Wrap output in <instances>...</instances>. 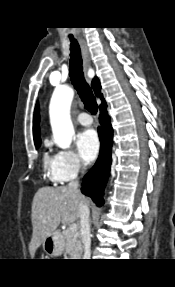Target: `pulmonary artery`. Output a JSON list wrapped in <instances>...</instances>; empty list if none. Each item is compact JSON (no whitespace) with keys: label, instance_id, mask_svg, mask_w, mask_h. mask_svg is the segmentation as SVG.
<instances>
[{"label":"pulmonary artery","instance_id":"1","mask_svg":"<svg viewBox=\"0 0 175 287\" xmlns=\"http://www.w3.org/2000/svg\"><path fill=\"white\" fill-rule=\"evenodd\" d=\"M77 121L84 126H89L93 122L92 117L87 113H80L77 116Z\"/></svg>","mask_w":175,"mask_h":287}]
</instances>
